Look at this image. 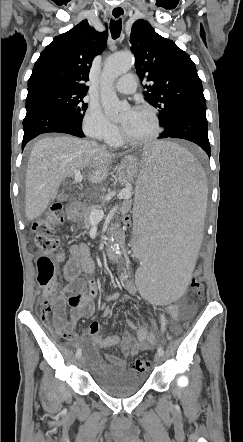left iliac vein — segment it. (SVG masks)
<instances>
[{"mask_svg":"<svg viewBox=\"0 0 243 442\" xmlns=\"http://www.w3.org/2000/svg\"><path fill=\"white\" fill-rule=\"evenodd\" d=\"M162 362V356L160 354L155 355V363L158 365Z\"/></svg>","mask_w":243,"mask_h":442,"instance_id":"obj_1","label":"left iliac vein"}]
</instances>
